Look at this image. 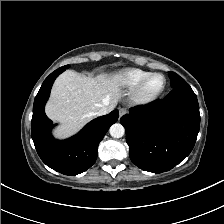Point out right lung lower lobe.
I'll return each instance as SVG.
<instances>
[{
	"label": "right lung lower lobe",
	"instance_id": "1",
	"mask_svg": "<svg viewBox=\"0 0 224 224\" xmlns=\"http://www.w3.org/2000/svg\"><path fill=\"white\" fill-rule=\"evenodd\" d=\"M64 70L60 67L52 72L36 95L31 133L37 153L47 166L65 175H77L95 163L98 145L109 127L117 121L119 113L114 110L91 121L75 136L63 141L55 140L50 134L52 121L45 115L44 106L54 80Z\"/></svg>",
	"mask_w": 224,
	"mask_h": 224
}]
</instances>
